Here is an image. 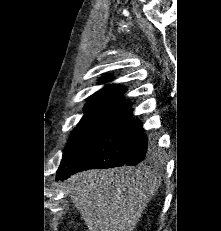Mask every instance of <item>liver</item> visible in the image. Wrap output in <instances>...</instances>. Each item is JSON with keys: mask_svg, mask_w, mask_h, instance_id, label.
Instances as JSON below:
<instances>
[{"mask_svg": "<svg viewBox=\"0 0 221 231\" xmlns=\"http://www.w3.org/2000/svg\"><path fill=\"white\" fill-rule=\"evenodd\" d=\"M158 186L148 169L120 167L80 172L67 188L89 231H133Z\"/></svg>", "mask_w": 221, "mask_h": 231, "instance_id": "liver-1", "label": "liver"}]
</instances>
